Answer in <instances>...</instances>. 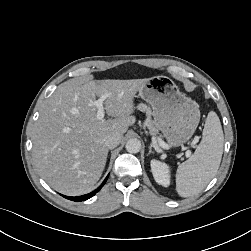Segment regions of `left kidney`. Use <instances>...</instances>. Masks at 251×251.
Wrapping results in <instances>:
<instances>
[{
    "label": "left kidney",
    "mask_w": 251,
    "mask_h": 251,
    "mask_svg": "<svg viewBox=\"0 0 251 251\" xmlns=\"http://www.w3.org/2000/svg\"><path fill=\"white\" fill-rule=\"evenodd\" d=\"M151 171L155 181L164 186L170 185V171L169 166L158 160H151Z\"/></svg>",
    "instance_id": "5707ae66"
}]
</instances>
